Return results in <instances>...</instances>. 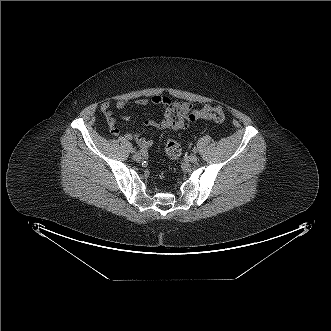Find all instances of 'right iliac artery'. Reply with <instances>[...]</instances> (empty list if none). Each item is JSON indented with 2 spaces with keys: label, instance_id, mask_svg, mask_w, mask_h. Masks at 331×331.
<instances>
[{
  "label": "right iliac artery",
  "instance_id": "obj_1",
  "mask_svg": "<svg viewBox=\"0 0 331 331\" xmlns=\"http://www.w3.org/2000/svg\"><path fill=\"white\" fill-rule=\"evenodd\" d=\"M133 152H134V153H137V152H138V149H137V148H134V149H133Z\"/></svg>",
  "mask_w": 331,
  "mask_h": 331
}]
</instances>
